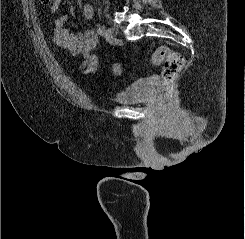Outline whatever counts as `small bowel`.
I'll list each match as a JSON object with an SVG mask.
<instances>
[{
  "label": "small bowel",
  "mask_w": 245,
  "mask_h": 239,
  "mask_svg": "<svg viewBox=\"0 0 245 239\" xmlns=\"http://www.w3.org/2000/svg\"><path fill=\"white\" fill-rule=\"evenodd\" d=\"M62 0H52L50 4L51 13L55 14ZM81 15L85 20H91L94 16V8L89 3L81 6ZM66 17L57 16L54 20V41L56 45L70 55H82L83 61L80 65V71L86 75H95L98 70V58L93 53L98 42V36L93 29H87L82 32L71 33L65 27Z\"/></svg>",
  "instance_id": "obj_1"
}]
</instances>
